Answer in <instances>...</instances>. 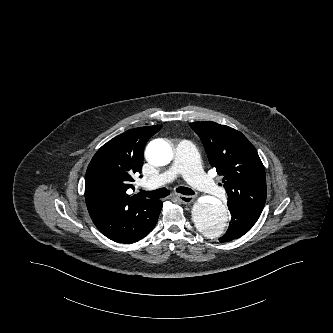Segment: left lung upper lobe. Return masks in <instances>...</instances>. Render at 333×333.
I'll use <instances>...</instances> for the list:
<instances>
[{
  "label": "left lung upper lobe",
  "instance_id": "obj_1",
  "mask_svg": "<svg viewBox=\"0 0 333 333\" xmlns=\"http://www.w3.org/2000/svg\"><path fill=\"white\" fill-rule=\"evenodd\" d=\"M190 126L201 138L211 166L224 176L228 207L260 216L267 188L255 147L242 133L225 125L194 122Z\"/></svg>",
  "mask_w": 333,
  "mask_h": 333
}]
</instances>
